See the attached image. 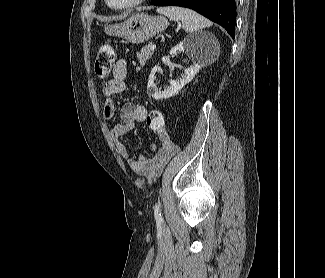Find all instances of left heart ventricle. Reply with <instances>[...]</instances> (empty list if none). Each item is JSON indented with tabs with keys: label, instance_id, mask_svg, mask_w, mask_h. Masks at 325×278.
I'll use <instances>...</instances> for the list:
<instances>
[{
	"label": "left heart ventricle",
	"instance_id": "1",
	"mask_svg": "<svg viewBox=\"0 0 325 278\" xmlns=\"http://www.w3.org/2000/svg\"><path fill=\"white\" fill-rule=\"evenodd\" d=\"M109 1L114 6H120V5L127 4L133 0H109Z\"/></svg>",
	"mask_w": 325,
	"mask_h": 278
}]
</instances>
